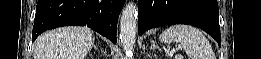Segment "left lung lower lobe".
Returning a JSON list of instances; mask_svg holds the SVG:
<instances>
[{
    "instance_id": "obj_1",
    "label": "left lung lower lobe",
    "mask_w": 261,
    "mask_h": 59,
    "mask_svg": "<svg viewBox=\"0 0 261 59\" xmlns=\"http://www.w3.org/2000/svg\"><path fill=\"white\" fill-rule=\"evenodd\" d=\"M172 24L201 28L221 45L217 0H138L139 35Z\"/></svg>"
}]
</instances>
